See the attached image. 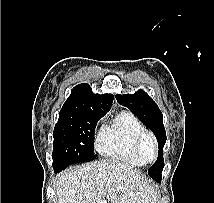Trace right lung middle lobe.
Instances as JSON below:
<instances>
[{"label": "right lung middle lobe", "instance_id": "dd1d6c3e", "mask_svg": "<svg viewBox=\"0 0 214 203\" xmlns=\"http://www.w3.org/2000/svg\"><path fill=\"white\" fill-rule=\"evenodd\" d=\"M104 116L88 108L63 107L53 132V168L61 171L70 164L95 159L94 131Z\"/></svg>", "mask_w": 214, "mask_h": 203}]
</instances>
